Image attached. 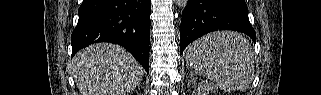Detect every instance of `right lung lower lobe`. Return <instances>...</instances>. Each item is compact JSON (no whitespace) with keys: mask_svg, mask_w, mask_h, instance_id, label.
I'll use <instances>...</instances> for the list:
<instances>
[{"mask_svg":"<svg viewBox=\"0 0 321 95\" xmlns=\"http://www.w3.org/2000/svg\"><path fill=\"white\" fill-rule=\"evenodd\" d=\"M71 36L72 57L97 42L126 48L149 73L151 0H83Z\"/></svg>","mask_w":321,"mask_h":95,"instance_id":"98d812e1","label":"right lung lower lobe"}]
</instances>
